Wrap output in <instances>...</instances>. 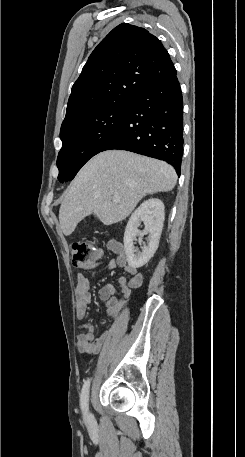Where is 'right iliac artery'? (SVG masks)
Wrapping results in <instances>:
<instances>
[{
  "mask_svg": "<svg viewBox=\"0 0 245 457\" xmlns=\"http://www.w3.org/2000/svg\"><path fill=\"white\" fill-rule=\"evenodd\" d=\"M89 386H90V381L89 379L84 382L82 392H81V408L83 412L86 414L88 411V401H89Z\"/></svg>",
  "mask_w": 245,
  "mask_h": 457,
  "instance_id": "1",
  "label": "right iliac artery"
}]
</instances>
